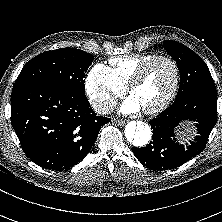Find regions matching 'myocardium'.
Instances as JSON below:
<instances>
[{
  "mask_svg": "<svg viewBox=\"0 0 222 222\" xmlns=\"http://www.w3.org/2000/svg\"><path fill=\"white\" fill-rule=\"evenodd\" d=\"M161 60L167 61L173 67V71H174L173 85H172V88H171L169 94L165 97V99L161 103H159L158 105H156L152 108L144 109V112L146 114H156V113L163 111L164 109H166L169 106V104L175 98L178 88H179V84H180V68H179L177 61L168 55H155L151 59L144 62L136 70V72L133 74V76L131 77V79L129 80L128 85H127V91L131 94L134 87L136 85H138L142 81V79L144 78L148 68L152 64H154L155 62L161 61Z\"/></svg>",
  "mask_w": 222,
  "mask_h": 222,
  "instance_id": "f54148a6",
  "label": "myocardium"
}]
</instances>
